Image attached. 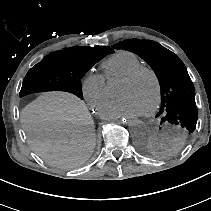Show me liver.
<instances>
[{
	"label": "liver",
	"mask_w": 211,
	"mask_h": 211,
	"mask_svg": "<svg viewBox=\"0 0 211 211\" xmlns=\"http://www.w3.org/2000/svg\"><path fill=\"white\" fill-rule=\"evenodd\" d=\"M31 148L52 165L75 168L95 146L92 117L83 101L62 92L46 93L21 112Z\"/></svg>",
	"instance_id": "liver-1"
}]
</instances>
